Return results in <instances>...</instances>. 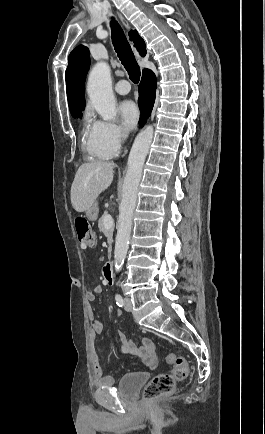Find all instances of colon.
I'll list each match as a JSON object with an SVG mask.
<instances>
[{
  "label": "colon",
  "instance_id": "5ec220e1",
  "mask_svg": "<svg viewBox=\"0 0 265 434\" xmlns=\"http://www.w3.org/2000/svg\"><path fill=\"white\" fill-rule=\"evenodd\" d=\"M75 232L83 250H90L96 243V235L87 219L74 221ZM166 361L172 366L171 373H158L144 389L145 401L151 402L152 397L171 393L175 390L176 381L185 380L189 375L187 361L179 356L170 354Z\"/></svg>",
  "mask_w": 265,
  "mask_h": 434
}]
</instances>
